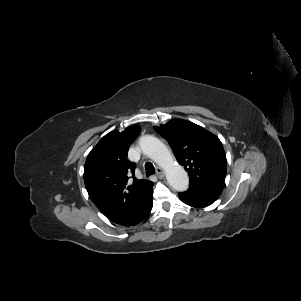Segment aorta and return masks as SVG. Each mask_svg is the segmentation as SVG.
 Masks as SVG:
<instances>
[{
  "label": "aorta",
  "instance_id": "obj_1",
  "mask_svg": "<svg viewBox=\"0 0 301 301\" xmlns=\"http://www.w3.org/2000/svg\"><path fill=\"white\" fill-rule=\"evenodd\" d=\"M139 145L144 154L155 161L166 174L169 185L176 191H186L189 186L187 172L177 164L167 147L156 137L145 135L140 138Z\"/></svg>",
  "mask_w": 301,
  "mask_h": 301
}]
</instances>
